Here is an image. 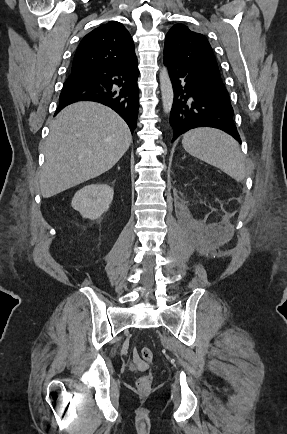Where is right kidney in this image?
Wrapping results in <instances>:
<instances>
[{
  "label": "right kidney",
  "instance_id": "right-kidney-1",
  "mask_svg": "<svg viewBox=\"0 0 287 434\" xmlns=\"http://www.w3.org/2000/svg\"><path fill=\"white\" fill-rule=\"evenodd\" d=\"M113 194L107 184H90L76 192L71 205L83 218L95 220L109 209Z\"/></svg>",
  "mask_w": 287,
  "mask_h": 434
}]
</instances>
